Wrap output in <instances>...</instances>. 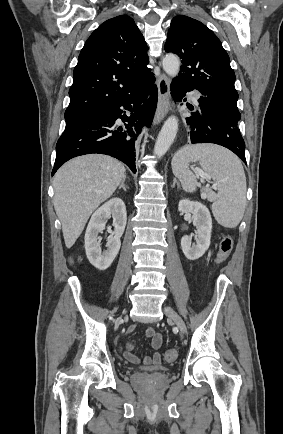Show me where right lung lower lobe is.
I'll list each match as a JSON object with an SVG mask.
<instances>
[{
    "label": "right lung lower lobe",
    "instance_id": "right-lung-lower-lobe-1",
    "mask_svg": "<svg viewBox=\"0 0 283 434\" xmlns=\"http://www.w3.org/2000/svg\"><path fill=\"white\" fill-rule=\"evenodd\" d=\"M151 72L130 94L91 113L66 121L56 145L52 175L69 159L90 153L115 157L136 173L135 140L144 125L150 126L158 90ZM124 123L118 126L116 120Z\"/></svg>",
    "mask_w": 283,
    "mask_h": 434
}]
</instances>
